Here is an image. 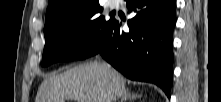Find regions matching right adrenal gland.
<instances>
[{
	"instance_id": "1",
	"label": "right adrenal gland",
	"mask_w": 221,
	"mask_h": 102,
	"mask_svg": "<svg viewBox=\"0 0 221 102\" xmlns=\"http://www.w3.org/2000/svg\"><path fill=\"white\" fill-rule=\"evenodd\" d=\"M141 97L139 94H132L129 90H125L123 94L121 95L120 102H128L131 100H135L136 98Z\"/></svg>"
}]
</instances>
